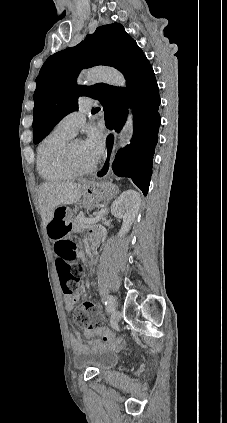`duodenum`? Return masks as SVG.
<instances>
[{"label": "duodenum", "instance_id": "410a0bca", "mask_svg": "<svg viewBox=\"0 0 227 423\" xmlns=\"http://www.w3.org/2000/svg\"><path fill=\"white\" fill-rule=\"evenodd\" d=\"M98 251H99V248L97 246H94L91 250V254L95 255V253L98 252Z\"/></svg>", "mask_w": 227, "mask_h": 423}]
</instances>
